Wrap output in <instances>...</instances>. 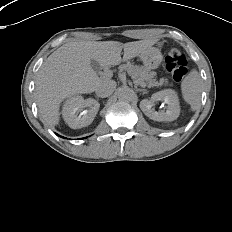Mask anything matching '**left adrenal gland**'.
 <instances>
[{"label":"left adrenal gland","instance_id":"1","mask_svg":"<svg viewBox=\"0 0 232 232\" xmlns=\"http://www.w3.org/2000/svg\"><path fill=\"white\" fill-rule=\"evenodd\" d=\"M139 91L145 93L147 90L146 89H140Z\"/></svg>","mask_w":232,"mask_h":232}]
</instances>
